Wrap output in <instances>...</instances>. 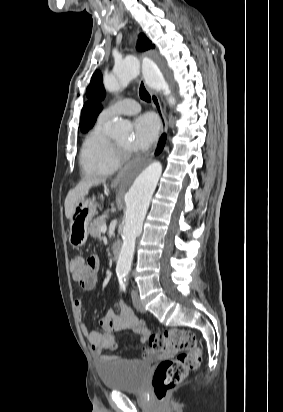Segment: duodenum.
Listing matches in <instances>:
<instances>
[{"instance_id":"410a0bca","label":"duodenum","mask_w":283,"mask_h":412,"mask_svg":"<svg viewBox=\"0 0 283 412\" xmlns=\"http://www.w3.org/2000/svg\"><path fill=\"white\" fill-rule=\"evenodd\" d=\"M121 254V245L119 243H115L112 247V257L115 260H118L120 258Z\"/></svg>"}]
</instances>
